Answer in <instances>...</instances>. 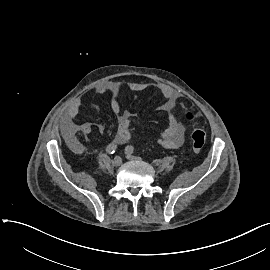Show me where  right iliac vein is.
<instances>
[{
  "label": "right iliac vein",
  "instance_id": "obj_1",
  "mask_svg": "<svg viewBox=\"0 0 270 270\" xmlns=\"http://www.w3.org/2000/svg\"><path fill=\"white\" fill-rule=\"evenodd\" d=\"M122 163V158L120 156H116L113 160H112V165L115 167L120 166Z\"/></svg>",
  "mask_w": 270,
  "mask_h": 270
}]
</instances>
